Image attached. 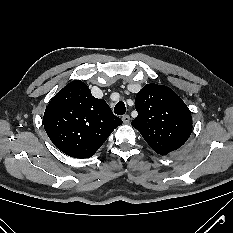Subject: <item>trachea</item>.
Segmentation results:
<instances>
[{"label":"trachea","mask_w":233,"mask_h":233,"mask_svg":"<svg viewBox=\"0 0 233 233\" xmlns=\"http://www.w3.org/2000/svg\"><path fill=\"white\" fill-rule=\"evenodd\" d=\"M114 112L117 115H123L126 112V107L124 102L120 101L116 104L115 108H114Z\"/></svg>","instance_id":"1"}]
</instances>
